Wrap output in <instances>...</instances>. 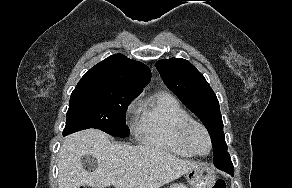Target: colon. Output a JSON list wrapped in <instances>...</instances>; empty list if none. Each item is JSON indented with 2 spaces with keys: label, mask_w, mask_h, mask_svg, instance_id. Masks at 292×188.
<instances>
[{
  "label": "colon",
  "mask_w": 292,
  "mask_h": 188,
  "mask_svg": "<svg viewBox=\"0 0 292 188\" xmlns=\"http://www.w3.org/2000/svg\"><path fill=\"white\" fill-rule=\"evenodd\" d=\"M84 188V187H81ZM213 188H227V182L225 179H218L214 185Z\"/></svg>",
  "instance_id": "1"
}]
</instances>
